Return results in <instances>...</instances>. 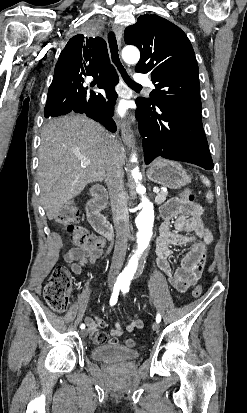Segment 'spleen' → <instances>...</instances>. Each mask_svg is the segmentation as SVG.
Instances as JSON below:
<instances>
[{"label": "spleen", "instance_id": "spleen-1", "mask_svg": "<svg viewBox=\"0 0 247 413\" xmlns=\"http://www.w3.org/2000/svg\"><path fill=\"white\" fill-rule=\"evenodd\" d=\"M200 178H201L202 182H204V184H206V186H211V182H210L209 178H207V176H204V174H200ZM206 198H207L208 202H213L214 194H213L212 190H208V192H206Z\"/></svg>", "mask_w": 247, "mask_h": 413}]
</instances>
